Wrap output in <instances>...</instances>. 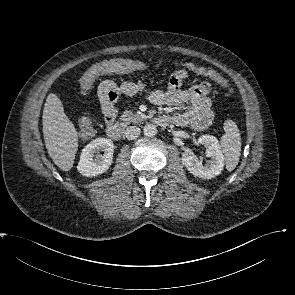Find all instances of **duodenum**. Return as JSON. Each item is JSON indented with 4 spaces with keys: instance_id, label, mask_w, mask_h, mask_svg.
I'll use <instances>...</instances> for the list:
<instances>
[{
    "instance_id": "duodenum-1",
    "label": "duodenum",
    "mask_w": 295,
    "mask_h": 295,
    "mask_svg": "<svg viewBox=\"0 0 295 295\" xmlns=\"http://www.w3.org/2000/svg\"><path fill=\"white\" fill-rule=\"evenodd\" d=\"M155 123L161 127H165L170 123V118L167 116H157ZM125 130L123 123H111L107 127V135L113 140H120Z\"/></svg>"
}]
</instances>
